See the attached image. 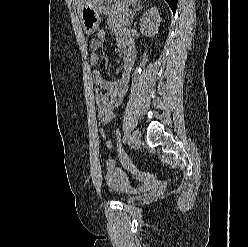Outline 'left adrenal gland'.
Instances as JSON below:
<instances>
[{
  "label": "left adrenal gland",
  "mask_w": 248,
  "mask_h": 247,
  "mask_svg": "<svg viewBox=\"0 0 248 247\" xmlns=\"http://www.w3.org/2000/svg\"><path fill=\"white\" fill-rule=\"evenodd\" d=\"M142 9V5L141 3L139 2L138 5L134 8L133 12H132V16H131V22H132V19L134 17V15L136 14L137 11L141 10Z\"/></svg>",
  "instance_id": "1"
}]
</instances>
